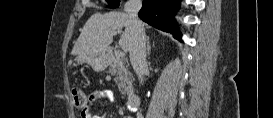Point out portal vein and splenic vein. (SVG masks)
I'll list each match as a JSON object with an SVG mask.
<instances>
[{
  "mask_svg": "<svg viewBox=\"0 0 273 118\" xmlns=\"http://www.w3.org/2000/svg\"><path fill=\"white\" fill-rule=\"evenodd\" d=\"M117 32H114V34H116ZM124 49L122 48V50H120V51H118V56H120V57H122V56H124L125 54H124Z\"/></svg>",
  "mask_w": 273,
  "mask_h": 118,
  "instance_id": "18ae733b",
  "label": "portal vein and splenic vein"
}]
</instances>
